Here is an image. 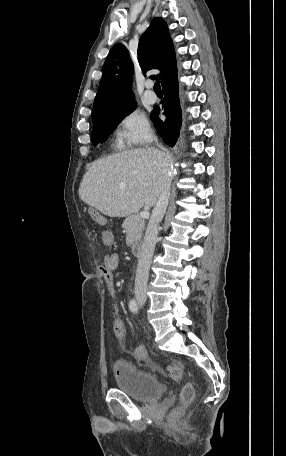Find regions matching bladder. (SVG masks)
I'll return each instance as SVG.
<instances>
[{
    "label": "bladder",
    "mask_w": 286,
    "mask_h": 456,
    "mask_svg": "<svg viewBox=\"0 0 286 456\" xmlns=\"http://www.w3.org/2000/svg\"><path fill=\"white\" fill-rule=\"evenodd\" d=\"M114 371L117 388L135 400L146 402L158 399L164 393L163 385L154 375L143 372L128 362H116Z\"/></svg>",
    "instance_id": "31cf9c89"
}]
</instances>
